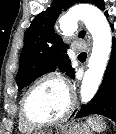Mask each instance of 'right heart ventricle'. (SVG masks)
I'll return each mask as SVG.
<instances>
[{
	"instance_id": "e07e8e85",
	"label": "right heart ventricle",
	"mask_w": 116,
	"mask_h": 134,
	"mask_svg": "<svg viewBox=\"0 0 116 134\" xmlns=\"http://www.w3.org/2000/svg\"><path fill=\"white\" fill-rule=\"evenodd\" d=\"M18 128L22 133H31L35 130L34 127L28 125L19 114L18 116Z\"/></svg>"
}]
</instances>
